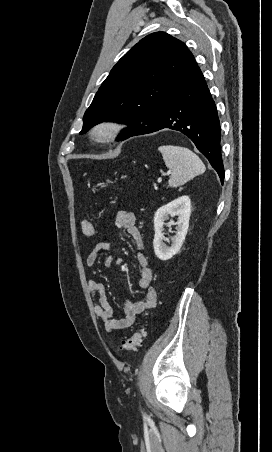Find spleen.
I'll use <instances>...</instances> for the list:
<instances>
[{
    "label": "spleen",
    "mask_w": 272,
    "mask_h": 452,
    "mask_svg": "<svg viewBox=\"0 0 272 452\" xmlns=\"http://www.w3.org/2000/svg\"><path fill=\"white\" fill-rule=\"evenodd\" d=\"M165 165L171 170L169 186L178 187L205 172L202 160L188 148L163 145L158 148Z\"/></svg>",
    "instance_id": "spleen-1"
}]
</instances>
